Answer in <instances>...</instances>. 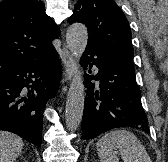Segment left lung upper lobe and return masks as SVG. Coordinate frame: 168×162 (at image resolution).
Instances as JSON below:
<instances>
[{
    "label": "left lung upper lobe",
    "mask_w": 168,
    "mask_h": 162,
    "mask_svg": "<svg viewBox=\"0 0 168 162\" xmlns=\"http://www.w3.org/2000/svg\"><path fill=\"white\" fill-rule=\"evenodd\" d=\"M68 21L86 25L89 32L87 45L96 46L134 68L131 30L115 1L78 0Z\"/></svg>",
    "instance_id": "1"
}]
</instances>
